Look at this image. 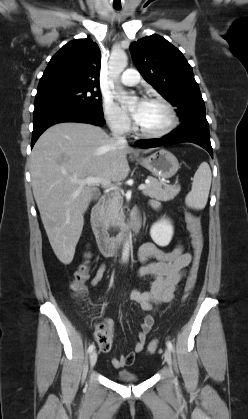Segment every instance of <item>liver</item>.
Returning <instances> with one entry per match:
<instances>
[{
    "instance_id": "1",
    "label": "liver",
    "mask_w": 248,
    "mask_h": 419,
    "mask_svg": "<svg viewBox=\"0 0 248 419\" xmlns=\"http://www.w3.org/2000/svg\"><path fill=\"white\" fill-rule=\"evenodd\" d=\"M133 151L117 144L100 127L75 122L48 128L36 142L30 157L33 195L51 247L62 263L73 260L83 215L97 191V184L74 181L126 179L130 171L127 154Z\"/></svg>"
}]
</instances>
